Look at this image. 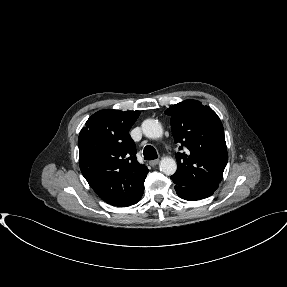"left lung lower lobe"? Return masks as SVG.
<instances>
[{
  "instance_id": "1",
  "label": "left lung lower lobe",
  "mask_w": 287,
  "mask_h": 287,
  "mask_svg": "<svg viewBox=\"0 0 287 287\" xmlns=\"http://www.w3.org/2000/svg\"><path fill=\"white\" fill-rule=\"evenodd\" d=\"M217 189V188H216ZM216 189L194 190L179 184L175 185V190L179 197L189 201H196L211 196Z\"/></svg>"
}]
</instances>
